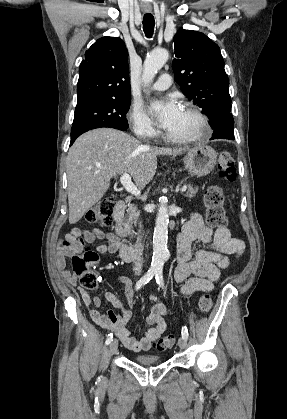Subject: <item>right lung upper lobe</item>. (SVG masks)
<instances>
[{
    "label": "right lung upper lobe",
    "mask_w": 287,
    "mask_h": 419,
    "mask_svg": "<svg viewBox=\"0 0 287 419\" xmlns=\"http://www.w3.org/2000/svg\"><path fill=\"white\" fill-rule=\"evenodd\" d=\"M130 96L128 52L124 42L118 37L98 39L86 51L79 67L76 108Z\"/></svg>",
    "instance_id": "1"
}]
</instances>
